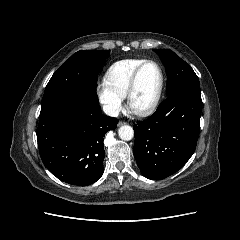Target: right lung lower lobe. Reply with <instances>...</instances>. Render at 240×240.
Returning a JSON list of instances; mask_svg holds the SVG:
<instances>
[{"label": "right lung lower lobe", "mask_w": 240, "mask_h": 240, "mask_svg": "<svg viewBox=\"0 0 240 240\" xmlns=\"http://www.w3.org/2000/svg\"><path fill=\"white\" fill-rule=\"evenodd\" d=\"M117 123L102 114L98 98L64 97L41 105L36 135L45 167L69 184H93L104 171V136Z\"/></svg>", "instance_id": "98d812e1"}]
</instances>
